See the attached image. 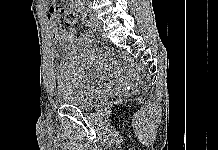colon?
<instances>
[{
    "label": "colon",
    "mask_w": 218,
    "mask_h": 150,
    "mask_svg": "<svg viewBox=\"0 0 218 150\" xmlns=\"http://www.w3.org/2000/svg\"><path fill=\"white\" fill-rule=\"evenodd\" d=\"M76 23V17L73 13L68 12L65 14V24L70 28L65 35V40L72 41L76 38V31L72 26Z\"/></svg>",
    "instance_id": "1"
}]
</instances>
